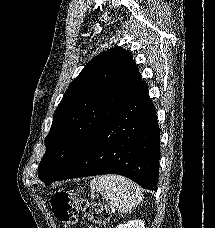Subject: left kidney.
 I'll list each match as a JSON object with an SVG mask.
<instances>
[{"instance_id":"left-kidney-1","label":"left kidney","mask_w":215,"mask_h":228,"mask_svg":"<svg viewBox=\"0 0 215 228\" xmlns=\"http://www.w3.org/2000/svg\"><path fill=\"white\" fill-rule=\"evenodd\" d=\"M116 228H145V224L142 220H130L126 224H119Z\"/></svg>"}]
</instances>
